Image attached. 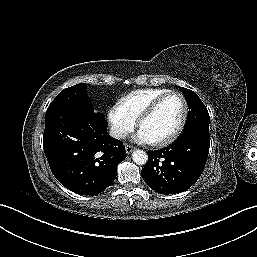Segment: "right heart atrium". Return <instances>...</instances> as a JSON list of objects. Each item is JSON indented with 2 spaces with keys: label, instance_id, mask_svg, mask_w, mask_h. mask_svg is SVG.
<instances>
[{
  "label": "right heart atrium",
  "instance_id": "d8ad5b80",
  "mask_svg": "<svg viewBox=\"0 0 257 257\" xmlns=\"http://www.w3.org/2000/svg\"><path fill=\"white\" fill-rule=\"evenodd\" d=\"M111 134L116 139H124L135 127L136 121L128 114L120 102L114 103L107 113Z\"/></svg>",
  "mask_w": 257,
  "mask_h": 257
}]
</instances>
